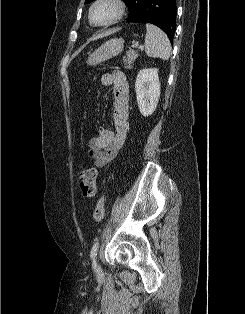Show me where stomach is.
<instances>
[{"mask_svg": "<svg viewBox=\"0 0 245 314\" xmlns=\"http://www.w3.org/2000/svg\"><path fill=\"white\" fill-rule=\"evenodd\" d=\"M123 47V39H110L89 55L87 63L91 66L98 65L119 55L123 51Z\"/></svg>", "mask_w": 245, "mask_h": 314, "instance_id": "obj_1", "label": "stomach"}]
</instances>
